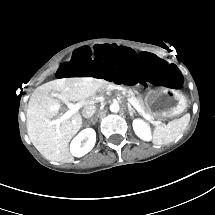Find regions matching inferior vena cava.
Segmentation results:
<instances>
[{
  "label": "inferior vena cava",
  "mask_w": 215,
  "mask_h": 215,
  "mask_svg": "<svg viewBox=\"0 0 215 215\" xmlns=\"http://www.w3.org/2000/svg\"><path fill=\"white\" fill-rule=\"evenodd\" d=\"M96 112V106L91 104V105H86L82 109V116L86 119L91 118Z\"/></svg>",
  "instance_id": "1"
}]
</instances>
